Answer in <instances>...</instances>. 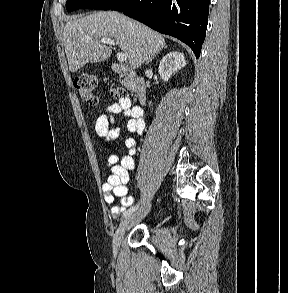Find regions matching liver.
Here are the masks:
<instances>
[{
    "label": "liver",
    "instance_id": "6515ba94",
    "mask_svg": "<svg viewBox=\"0 0 288 293\" xmlns=\"http://www.w3.org/2000/svg\"><path fill=\"white\" fill-rule=\"evenodd\" d=\"M102 38L116 40L133 69L139 68L165 47L162 35L117 12L100 11L74 17L66 23L63 32L71 72L79 70L86 63L101 62L110 57L112 50L100 43Z\"/></svg>",
    "mask_w": 288,
    "mask_h": 293
}]
</instances>
